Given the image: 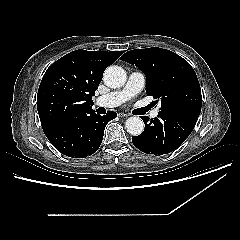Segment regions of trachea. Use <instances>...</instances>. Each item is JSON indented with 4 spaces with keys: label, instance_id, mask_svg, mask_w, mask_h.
<instances>
[{
    "label": "trachea",
    "instance_id": "1",
    "mask_svg": "<svg viewBox=\"0 0 240 240\" xmlns=\"http://www.w3.org/2000/svg\"><path fill=\"white\" fill-rule=\"evenodd\" d=\"M149 108L145 107L143 109H138L137 111H139L140 113L146 112Z\"/></svg>",
    "mask_w": 240,
    "mask_h": 240
}]
</instances>
